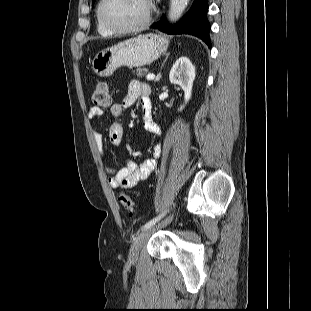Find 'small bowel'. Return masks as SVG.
Listing matches in <instances>:
<instances>
[{"mask_svg": "<svg viewBox=\"0 0 311 311\" xmlns=\"http://www.w3.org/2000/svg\"><path fill=\"white\" fill-rule=\"evenodd\" d=\"M151 88L148 84L138 80H131L128 85L126 95L121 102L113 103L110 106V114L113 121L109 126L108 138L113 146H119L123 139V125L119 121L125 109L132 107L137 100L143 112V124L147 133L160 136L162 130L152 118L151 108ZM103 115V109L98 107H91L87 114L89 124L92 126V137L97 149L102 153L103 151V137L102 134L96 130L93 125ZM161 156V147L156 144L153 147V158L147 159L141 164H137L131 159L126 161V165L120 169H107L108 184L112 189L134 188L139 182L145 180L157 167V159Z\"/></svg>", "mask_w": 311, "mask_h": 311, "instance_id": "c3829d8e", "label": "small bowel"}]
</instances>
